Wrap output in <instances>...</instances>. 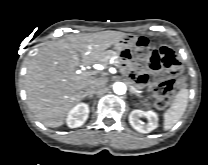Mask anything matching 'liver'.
<instances>
[{"label": "liver", "instance_id": "obj_1", "mask_svg": "<svg viewBox=\"0 0 208 165\" xmlns=\"http://www.w3.org/2000/svg\"><path fill=\"white\" fill-rule=\"evenodd\" d=\"M125 36L118 31L76 34L42 49L31 60L26 73L28 104L38 120L53 128L63 125L70 109L97 79L94 74H78L77 67L100 62L104 51Z\"/></svg>", "mask_w": 208, "mask_h": 165}]
</instances>
